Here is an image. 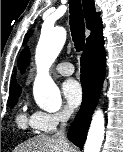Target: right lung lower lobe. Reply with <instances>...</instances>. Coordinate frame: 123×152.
<instances>
[{
  "instance_id": "obj_1",
  "label": "right lung lower lobe",
  "mask_w": 123,
  "mask_h": 152,
  "mask_svg": "<svg viewBox=\"0 0 123 152\" xmlns=\"http://www.w3.org/2000/svg\"><path fill=\"white\" fill-rule=\"evenodd\" d=\"M105 51L103 37L87 45L81 56V84L83 101L70 129L68 138L83 149L91 116L97 105L102 84L105 78Z\"/></svg>"
}]
</instances>
